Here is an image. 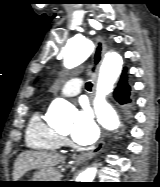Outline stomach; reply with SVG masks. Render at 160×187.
<instances>
[{
    "label": "stomach",
    "instance_id": "1",
    "mask_svg": "<svg viewBox=\"0 0 160 187\" xmlns=\"http://www.w3.org/2000/svg\"><path fill=\"white\" fill-rule=\"evenodd\" d=\"M59 172L54 168H48V169H41L35 172L33 178L29 183L30 187H48L53 186L52 182H59Z\"/></svg>",
    "mask_w": 160,
    "mask_h": 187
}]
</instances>
